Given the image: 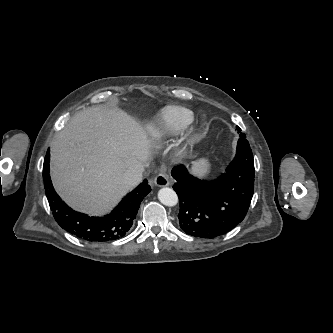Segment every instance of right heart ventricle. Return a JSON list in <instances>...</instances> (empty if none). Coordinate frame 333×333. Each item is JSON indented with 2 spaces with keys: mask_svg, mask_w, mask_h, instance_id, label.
<instances>
[{
  "mask_svg": "<svg viewBox=\"0 0 333 333\" xmlns=\"http://www.w3.org/2000/svg\"><path fill=\"white\" fill-rule=\"evenodd\" d=\"M193 119L194 113L190 109L180 106L169 107L162 113L154 134L157 137L178 134L190 125Z\"/></svg>",
  "mask_w": 333,
  "mask_h": 333,
  "instance_id": "right-heart-ventricle-1",
  "label": "right heart ventricle"
}]
</instances>
